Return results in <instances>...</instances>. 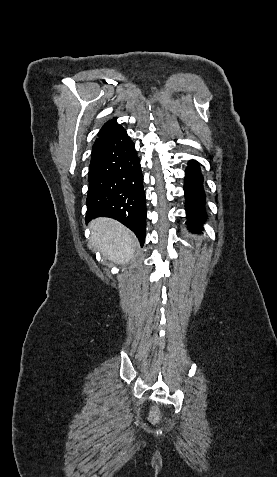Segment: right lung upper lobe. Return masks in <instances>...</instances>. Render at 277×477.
<instances>
[{"instance_id":"right-lung-upper-lobe-1","label":"right lung upper lobe","mask_w":277,"mask_h":477,"mask_svg":"<svg viewBox=\"0 0 277 477\" xmlns=\"http://www.w3.org/2000/svg\"><path fill=\"white\" fill-rule=\"evenodd\" d=\"M122 128V126L116 123V118L108 121L99 131L98 138L96 139L93 147L105 142Z\"/></svg>"}]
</instances>
